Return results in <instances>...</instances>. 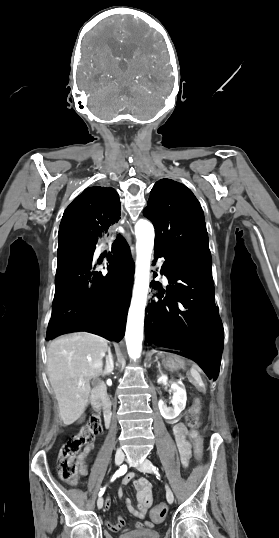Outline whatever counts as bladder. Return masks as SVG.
Instances as JSON below:
<instances>
[{"label":"bladder","instance_id":"1","mask_svg":"<svg viewBox=\"0 0 279 538\" xmlns=\"http://www.w3.org/2000/svg\"><path fill=\"white\" fill-rule=\"evenodd\" d=\"M123 538H160L159 532H124Z\"/></svg>","mask_w":279,"mask_h":538}]
</instances>
